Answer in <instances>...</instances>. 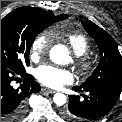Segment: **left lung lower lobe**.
Segmentation results:
<instances>
[{"label": "left lung lower lobe", "mask_w": 122, "mask_h": 122, "mask_svg": "<svg viewBox=\"0 0 122 122\" xmlns=\"http://www.w3.org/2000/svg\"><path fill=\"white\" fill-rule=\"evenodd\" d=\"M76 92H87L79 96L70 95L68 107L62 112V116L69 122H89L106 115L115 105L122 88L113 86L80 88L73 87Z\"/></svg>", "instance_id": "left-lung-lower-lobe-1"}]
</instances>
